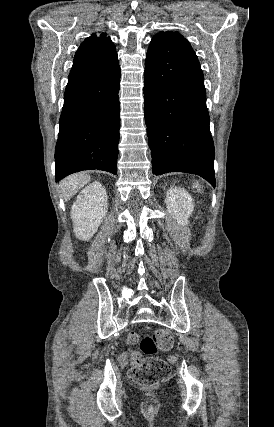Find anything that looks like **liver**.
<instances>
[{
	"label": "liver",
	"mask_w": 274,
	"mask_h": 427,
	"mask_svg": "<svg viewBox=\"0 0 274 427\" xmlns=\"http://www.w3.org/2000/svg\"><path fill=\"white\" fill-rule=\"evenodd\" d=\"M90 180V176H87L85 172H82V174H72V176H67L65 180H62L61 190L65 202L71 200L72 196H75Z\"/></svg>",
	"instance_id": "obj_1"
}]
</instances>
